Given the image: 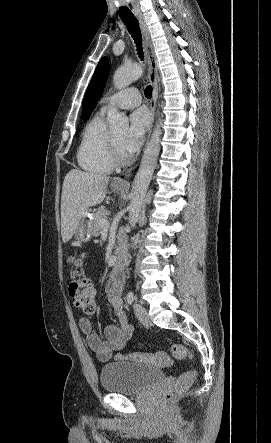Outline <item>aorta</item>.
Returning <instances> with one entry per match:
<instances>
[{
    "mask_svg": "<svg viewBox=\"0 0 271 443\" xmlns=\"http://www.w3.org/2000/svg\"><path fill=\"white\" fill-rule=\"evenodd\" d=\"M142 74L143 68L138 66V64H133V66H120V68L114 72L113 84L117 90H122V88L130 86L131 82L140 78ZM107 120L111 130H114V132H123V130L129 128L127 116H125V114H119L117 110L109 112ZM161 134L160 126L159 124H156L154 132L144 152L140 168L132 184L129 206V223L132 229L139 220L144 198L152 180L154 168L157 164L160 152Z\"/></svg>",
    "mask_w": 271,
    "mask_h": 443,
    "instance_id": "1",
    "label": "aorta"
}]
</instances>
